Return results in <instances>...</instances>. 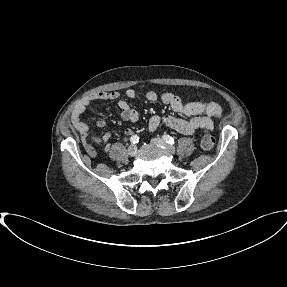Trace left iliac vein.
I'll return each mask as SVG.
<instances>
[{
	"mask_svg": "<svg viewBox=\"0 0 287 287\" xmlns=\"http://www.w3.org/2000/svg\"><path fill=\"white\" fill-rule=\"evenodd\" d=\"M151 142H152L153 144H155V145H161V146L166 147V148H167L170 152H172V153L175 151V149H174L173 146L167 144V143H166L163 139H161V138H153V139L151 140Z\"/></svg>",
	"mask_w": 287,
	"mask_h": 287,
	"instance_id": "left-iliac-vein-1",
	"label": "left iliac vein"
}]
</instances>
